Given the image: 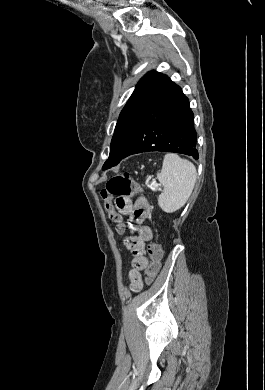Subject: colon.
Masks as SVG:
<instances>
[{
	"mask_svg": "<svg viewBox=\"0 0 265 390\" xmlns=\"http://www.w3.org/2000/svg\"><path fill=\"white\" fill-rule=\"evenodd\" d=\"M140 192L141 186L127 172L119 173L110 178L101 190L100 195L104 202V208L108 213L109 220L115 225L117 231L121 232L123 230V217L117 211L112 198L127 197ZM147 252L150 263L145 270L146 282L151 283L161 268L162 250L156 242H152L148 245Z\"/></svg>",
	"mask_w": 265,
	"mask_h": 390,
	"instance_id": "obj_1",
	"label": "colon"
}]
</instances>
